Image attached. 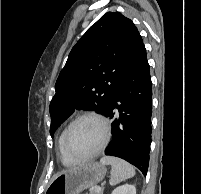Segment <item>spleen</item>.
Listing matches in <instances>:
<instances>
[{"label":"spleen","mask_w":201,"mask_h":194,"mask_svg":"<svg viewBox=\"0 0 201 194\" xmlns=\"http://www.w3.org/2000/svg\"><path fill=\"white\" fill-rule=\"evenodd\" d=\"M103 165H111L110 185L114 186L120 182L129 179L135 175V170L132 165L117 157L105 156L100 159Z\"/></svg>","instance_id":"obj_1"}]
</instances>
